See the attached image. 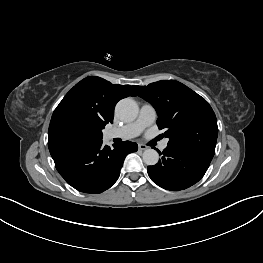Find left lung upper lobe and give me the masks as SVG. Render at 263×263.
I'll return each mask as SVG.
<instances>
[{"instance_id":"5c2ea615","label":"left lung upper lobe","mask_w":263,"mask_h":263,"mask_svg":"<svg viewBox=\"0 0 263 263\" xmlns=\"http://www.w3.org/2000/svg\"><path fill=\"white\" fill-rule=\"evenodd\" d=\"M133 87L157 111V125L160 130L166 129L168 146L214 156L217 119L204 98L175 80Z\"/></svg>"}]
</instances>
